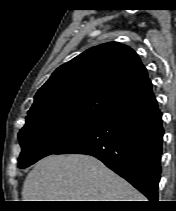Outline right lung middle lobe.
Segmentation results:
<instances>
[{
    "instance_id": "right-lung-middle-lobe-1",
    "label": "right lung middle lobe",
    "mask_w": 176,
    "mask_h": 211,
    "mask_svg": "<svg viewBox=\"0 0 176 211\" xmlns=\"http://www.w3.org/2000/svg\"><path fill=\"white\" fill-rule=\"evenodd\" d=\"M103 119L102 116L84 115L62 109H49L28 115L25 126L18 134L22 148L19 168H26L56 152Z\"/></svg>"
}]
</instances>
